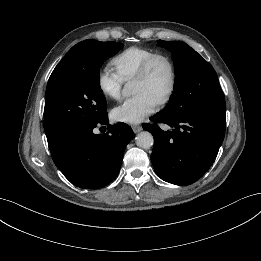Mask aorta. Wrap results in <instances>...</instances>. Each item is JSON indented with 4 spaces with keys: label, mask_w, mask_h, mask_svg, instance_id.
<instances>
[{
    "label": "aorta",
    "mask_w": 261,
    "mask_h": 261,
    "mask_svg": "<svg viewBox=\"0 0 261 261\" xmlns=\"http://www.w3.org/2000/svg\"><path fill=\"white\" fill-rule=\"evenodd\" d=\"M123 94L124 95H129L130 94V89L128 85H125L123 89ZM136 145L140 148L143 149H149L153 146L154 144V138L152 134L148 131H142L136 136Z\"/></svg>",
    "instance_id": "obj_1"
}]
</instances>
